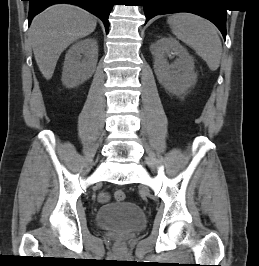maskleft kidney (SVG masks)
I'll return each mask as SVG.
<instances>
[{"mask_svg": "<svg viewBox=\"0 0 259 266\" xmlns=\"http://www.w3.org/2000/svg\"><path fill=\"white\" fill-rule=\"evenodd\" d=\"M152 53L155 74L168 92L182 95L195 85L197 74L194 71V59L175 38L161 37L153 44ZM171 55H176L178 58L169 64L166 57Z\"/></svg>", "mask_w": 259, "mask_h": 266, "instance_id": "left-kidney-1", "label": "left kidney"}]
</instances>
